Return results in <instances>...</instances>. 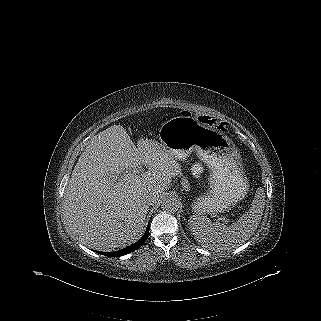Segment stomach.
<instances>
[{
  "label": "stomach",
  "instance_id": "1",
  "mask_svg": "<svg viewBox=\"0 0 321 321\" xmlns=\"http://www.w3.org/2000/svg\"><path fill=\"white\" fill-rule=\"evenodd\" d=\"M157 144L178 160L186 159L195 151L210 169L209 192L193 202L195 212H224L243 197L246 183L241 174L240 155L224 134L193 117L177 116L161 126Z\"/></svg>",
  "mask_w": 321,
  "mask_h": 321
}]
</instances>
